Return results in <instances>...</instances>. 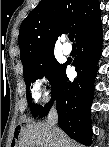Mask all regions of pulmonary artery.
Masks as SVG:
<instances>
[{
  "label": "pulmonary artery",
  "instance_id": "pulmonary-artery-1",
  "mask_svg": "<svg viewBox=\"0 0 109 147\" xmlns=\"http://www.w3.org/2000/svg\"><path fill=\"white\" fill-rule=\"evenodd\" d=\"M71 51H72L71 45L68 42L64 43L62 46V52L65 55H69L71 53Z\"/></svg>",
  "mask_w": 109,
  "mask_h": 147
}]
</instances>
